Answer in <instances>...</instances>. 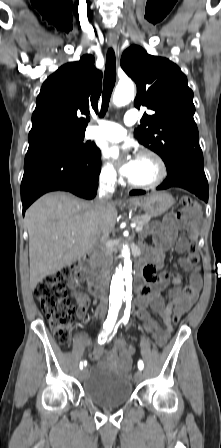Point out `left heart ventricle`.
<instances>
[{
  "label": "left heart ventricle",
  "instance_id": "obj_1",
  "mask_svg": "<svg viewBox=\"0 0 221 448\" xmlns=\"http://www.w3.org/2000/svg\"><path fill=\"white\" fill-rule=\"evenodd\" d=\"M158 169L153 159L139 156L138 167L131 179L137 182H150L158 176Z\"/></svg>",
  "mask_w": 221,
  "mask_h": 448
}]
</instances>
